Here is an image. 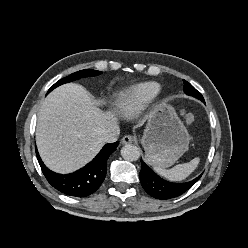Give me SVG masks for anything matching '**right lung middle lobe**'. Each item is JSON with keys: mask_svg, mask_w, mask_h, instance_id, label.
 <instances>
[{"mask_svg": "<svg viewBox=\"0 0 248 248\" xmlns=\"http://www.w3.org/2000/svg\"><path fill=\"white\" fill-rule=\"evenodd\" d=\"M101 74V71H96V70H92V69H85V70H81L78 72H75L71 75H69L68 77L62 78L61 80L57 81L48 91V93L50 91H52L54 88H56L59 85H62L64 83H68L80 78H84V77H88V76H97Z\"/></svg>", "mask_w": 248, "mask_h": 248, "instance_id": "1", "label": "right lung middle lobe"}]
</instances>
